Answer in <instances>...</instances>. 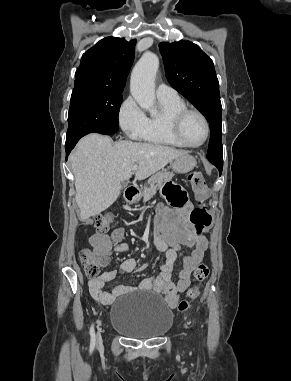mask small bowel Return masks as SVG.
Returning <instances> with one entry per match:
<instances>
[{"instance_id": "1", "label": "small bowel", "mask_w": 291, "mask_h": 381, "mask_svg": "<svg viewBox=\"0 0 291 381\" xmlns=\"http://www.w3.org/2000/svg\"><path fill=\"white\" fill-rule=\"evenodd\" d=\"M165 195L171 206L160 204L157 207L153 237L156 249L165 254L159 274L155 277L144 278L137 287L117 285L111 291L104 290L105 285L115 279L119 273H130L135 270V259L128 258L122 262L118 270L105 271L89 280L90 295L97 302L110 305L115 298L138 289L162 294L166 304L172 309L176 308L180 294L190 285L194 268L204 259L208 240L189 228L188 217L191 206L186 201L184 192L177 187H168ZM173 197L184 201L181 205H175L172 201ZM89 243L93 250L105 251L108 254L112 249L117 253H123L129 249V245L124 242L123 228H116L110 236L94 234L90 236ZM183 246L191 249L189 255H183L181 251ZM178 258H182V265L179 270V279L174 282L172 271ZM143 269L145 266L141 267V270Z\"/></svg>"}]
</instances>
